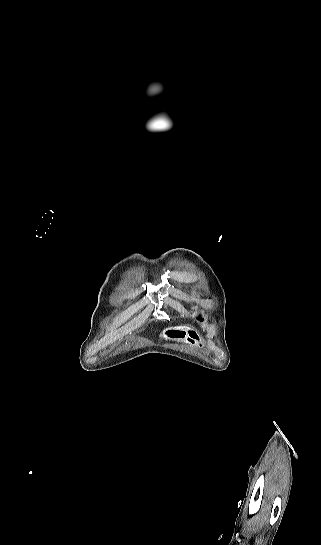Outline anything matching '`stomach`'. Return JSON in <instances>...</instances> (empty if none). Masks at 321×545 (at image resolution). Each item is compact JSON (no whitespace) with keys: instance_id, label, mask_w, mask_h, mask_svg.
I'll list each match as a JSON object with an SVG mask.
<instances>
[{"instance_id":"1","label":"stomach","mask_w":321,"mask_h":545,"mask_svg":"<svg viewBox=\"0 0 321 545\" xmlns=\"http://www.w3.org/2000/svg\"><path fill=\"white\" fill-rule=\"evenodd\" d=\"M161 339H169V341H181L185 345L190 347H201V337L193 327L190 325H176V327H169L164 329L160 335Z\"/></svg>"}]
</instances>
